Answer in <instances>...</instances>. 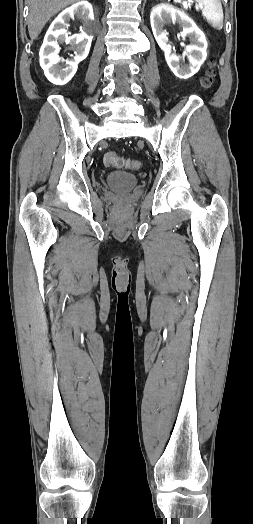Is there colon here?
<instances>
[{"label":"colon","instance_id":"1","mask_svg":"<svg viewBox=\"0 0 253 524\" xmlns=\"http://www.w3.org/2000/svg\"><path fill=\"white\" fill-rule=\"evenodd\" d=\"M216 78V71L214 69H210L207 74L203 77L201 80V86L204 89H209L213 86ZM104 164L107 167H125V168H132L137 169L141 166V163L137 160L133 161H125L122 159L116 152H107L104 155L103 158Z\"/></svg>","mask_w":253,"mask_h":524}]
</instances>
